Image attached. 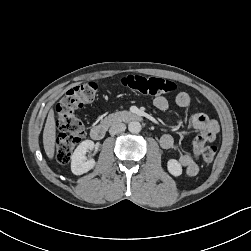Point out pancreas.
Masks as SVG:
<instances>
[{
    "mask_svg": "<svg viewBox=\"0 0 251 251\" xmlns=\"http://www.w3.org/2000/svg\"><path fill=\"white\" fill-rule=\"evenodd\" d=\"M122 115H123V112H120V111L112 113V114L108 115L107 117H105L101 121V124L104 126H110L113 123L119 121L121 119Z\"/></svg>",
    "mask_w": 251,
    "mask_h": 251,
    "instance_id": "pancreas-1",
    "label": "pancreas"
}]
</instances>
